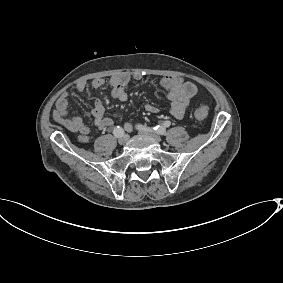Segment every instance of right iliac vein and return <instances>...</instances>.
Wrapping results in <instances>:
<instances>
[{
    "instance_id": "right-iliac-vein-1",
    "label": "right iliac vein",
    "mask_w": 283,
    "mask_h": 283,
    "mask_svg": "<svg viewBox=\"0 0 283 283\" xmlns=\"http://www.w3.org/2000/svg\"><path fill=\"white\" fill-rule=\"evenodd\" d=\"M128 141V135L124 134L118 139L120 145H124Z\"/></svg>"
}]
</instances>
